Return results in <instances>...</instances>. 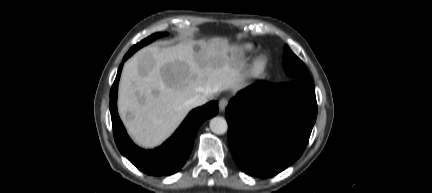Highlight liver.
I'll use <instances>...</instances> for the list:
<instances>
[{
	"mask_svg": "<svg viewBox=\"0 0 432 193\" xmlns=\"http://www.w3.org/2000/svg\"><path fill=\"white\" fill-rule=\"evenodd\" d=\"M244 67L241 49L223 37L141 49L124 64L119 83L118 110L128 134L145 148L161 144L193 108L191 98L236 91Z\"/></svg>",
	"mask_w": 432,
	"mask_h": 193,
	"instance_id": "obj_1",
	"label": "liver"
}]
</instances>
